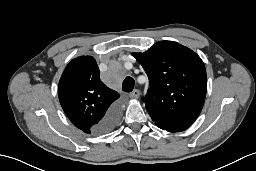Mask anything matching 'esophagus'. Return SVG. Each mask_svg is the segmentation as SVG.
I'll list each match as a JSON object with an SVG mask.
<instances>
[{
  "mask_svg": "<svg viewBox=\"0 0 256 171\" xmlns=\"http://www.w3.org/2000/svg\"><path fill=\"white\" fill-rule=\"evenodd\" d=\"M130 98L132 99H138L139 96H140V91L138 89H135L133 90L131 93H130Z\"/></svg>",
  "mask_w": 256,
  "mask_h": 171,
  "instance_id": "obj_1",
  "label": "esophagus"
}]
</instances>
